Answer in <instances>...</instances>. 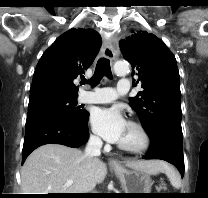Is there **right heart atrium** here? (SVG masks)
Segmentation results:
<instances>
[{
	"instance_id": "right-heart-atrium-1",
	"label": "right heart atrium",
	"mask_w": 208,
	"mask_h": 198,
	"mask_svg": "<svg viewBox=\"0 0 208 198\" xmlns=\"http://www.w3.org/2000/svg\"><path fill=\"white\" fill-rule=\"evenodd\" d=\"M90 139L95 144H99L101 142L100 138L97 135H95V134H92Z\"/></svg>"
}]
</instances>
